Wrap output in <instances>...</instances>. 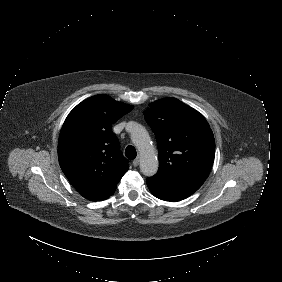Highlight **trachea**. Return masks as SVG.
<instances>
[{"mask_svg":"<svg viewBox=\"0 0 282 282\" xmlns=\"http://www.w3.org/2000/svg\"><path fill=\"white\" fill-rule=\"evenodd\" d=\"M125 155L130 160L135 159L136 156H137L136 149L131 145L127 146L126 149H125Z\"/></svg>","mask_w":282,"mask_h":282,"instance_id":"1","label":"trachea"}]
</instances>
